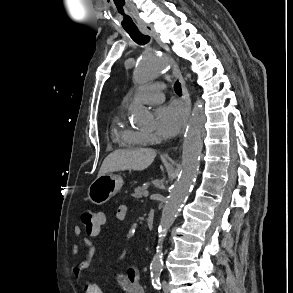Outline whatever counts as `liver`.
I'll use <instances>...</instances> for the list:
<instances>
[{"label":"liver","instance_id":"obj_1","mask_svg":"<svg viewBox=\"0 0 293 293\" xmlns=\"http://www.w3.org/2000/svg\"><path fill=\"white\" fill-rule=\"evenodd\" d=\"M156 157L153 149L116 150L103 161L98 177L117 171H142L148 168Z\"/></svg>","mask_w":293,"mask_h":293}]
</instances>
